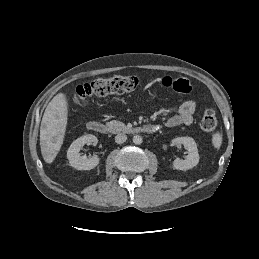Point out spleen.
<instances>
[{"label":"spleen","mask_w":259,"mask_h":259,"mask_svg":"<svg viewBox=\"0 0 259 259\" xmlns=\"http://www.w3.org/2000/svg\"><path fill=\"white\" fill-rule=\"evenodd\" d=\"M212 144L216 149H219L222 144V135L219 132H216L212 136Z\"/></svg>","instance_id":"spleen-1"}]
</instances>
